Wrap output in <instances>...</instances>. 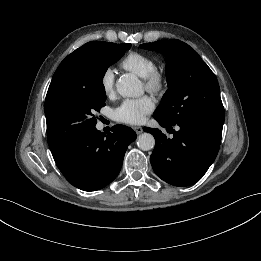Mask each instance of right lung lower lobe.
<instances>
[{
  "label": "right lung lower lobe",
  "mask_w": 261,
  "mask_h": 261,
  "mask_svg": "<svg viewBox=\"0 0 261 261\" xmlns=\"http://www.w3.org/2000/svg\"><path fill=\"white\" fill-rule=\"evenodd\" d=\"M112 131L105 135L94 127L52 153L59 170L72 185L95 191L117 177L136 133L123 125L113 126Z\"/></svg>",
  "instance_id": "right-lung-lower-lobe-1"
}]
</instances>
